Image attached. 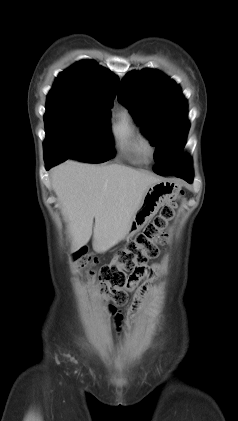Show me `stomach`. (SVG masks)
<instances>
[{
	"instance_id": "obj_1",
	"label": "stomach",
	"mask_w": 238,
	"mask_h": 421,
	"mask_svg": "<svg viewBox=\"0 0 238 421\" xmlns=\"http://www.w3.org/2000/svg\"><path fill=\"white\" fill-rule=\"evenodd\" d=\"M178 190L177 184L168 180H161L150 185L131 219L124 238L129 240L139 232L157 214L160 207L170 202L177 195Z\"/></svg>"
}]
</instances>
